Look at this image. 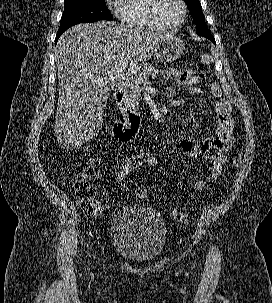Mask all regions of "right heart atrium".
Masks as SVG:
<instances>
[{
	"instance_id": "d8ad5b80",
	"label": "right heart atrium",
	"mask_w": 272,
	"mask_h": 303,
	"mask_svg": "<svg viewBox=\"0 0 272 303\" xmlns=\"http://www.w3.org/2000/svg\"><path fill=\"white\" fill-rule=\"evenodd\" d=\"M120 0H107L109 8L113 11H118Z\"/></svg>"
}]
</instances>
